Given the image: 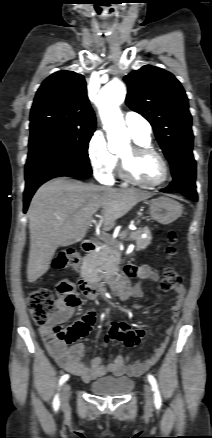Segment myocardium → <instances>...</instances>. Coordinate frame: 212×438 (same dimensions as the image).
I'll return each instance as SVG.
<instances>
[{
	"label": "myocardium",
	"mask_w": 212,
	"mask_h": 438,
	"mask_svg": "<svg viewBox=\"0 0 212 438\" xmlns=\"http://www.w3.org/2000/svg\"><path fill=\"white\" fill-rule=\"evenodd\" d=\"M131 154L132 156H140V155L156 156L161 162L163 168V177L159 181L153 183H147L137 180L130 171V160L120 156L119 169H120V176L123 180L136 186L148 187V188L163 185L168 181L170 176L169 164L166 158L160 152H158L157 150H155L150 146L135 144L131 147Z\"/></svg>",
	"instance_id": "obj_1"
}]
</instances>
